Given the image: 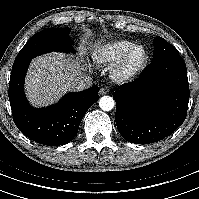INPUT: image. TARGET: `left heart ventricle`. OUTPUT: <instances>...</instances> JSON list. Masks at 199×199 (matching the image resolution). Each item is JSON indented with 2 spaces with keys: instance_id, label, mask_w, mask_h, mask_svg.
Listing matches in <instances>:
<instances>
[{
  "instance_id": "1",
  "label": "left heart ventricle",
  "mask_w": 199,
  "mask_h": 199,
  "mask_svg": "<svg viewBox=\"0 0 199 199\" xmlns=\"http://www.w3.org/2000/svg\"><path fill=\"white\" fill-rule=\"evenodd\" d=\"M142 56V52L140 50L135 51L128 60V68L132 69L134 68L138 62L140 61Z\"/></svg>"
}]
</instances>
